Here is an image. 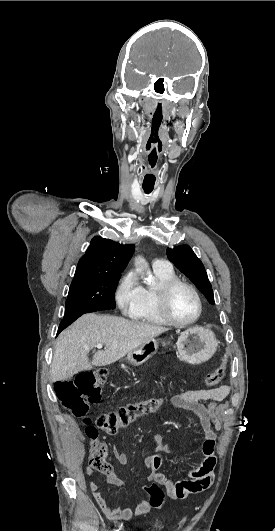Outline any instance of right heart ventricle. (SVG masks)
<instances>
[{"label": "right heart ventricle", "mask_w": 275, "mask_h": 531, "mask_svg": "<svg viewBox=\"0 0 275 531\" xmlns=\"http://www.w3.org/2000/svg\"><path fill=\"white\" fill-rule=\"evenodd\" d=\"M157 284L154 287H142V303L140 308L132 316L135 320L143 323L165 325L168 322L161 315L157 304V286L163 282L175 278L171 270H156Z\"/></svg>", "instance_id": "right-heart-ventricle-1"}]
</instances>
